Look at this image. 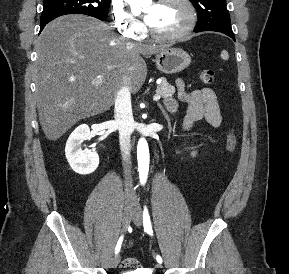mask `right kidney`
<instances>
[{
    "label": "right kidney",
    "instance_id": "1",
    "mask_svg": "<svg viewBox=\"0 0 289 274\" xmlns=\"http://www.w3.org/2000/svg\"><path fill=\"white\" fill-rule=\"evenodd\" d=\"M89 136V126L81 124L71 133L65 147V155L70 167L81 175L94 172L99 165V156L95 150H82V144L89 139Z\"/></svg>",
    "mask_w": 289,
    "mask_h": 274
}]
</instances>
